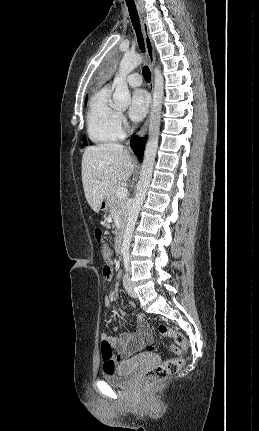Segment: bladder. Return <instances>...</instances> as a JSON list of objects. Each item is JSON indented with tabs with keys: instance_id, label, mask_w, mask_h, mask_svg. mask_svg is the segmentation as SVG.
Returning a JSON list of instances; mask_svg holds the SVG:
<instances>
[{
	"instance_id": "31cf9c89",
	"label": "bladder",
	"mask_w": 259,
	"mask_h": 431,
	"mask_svg": "<svg viewBox=\"0 0 259 431\" xmlns=\"http://www.w3.org/2000/svg\"><path fill=\"white\" fill-rule=\"evenodd\" d=\"M137 369L135 363H124L114 371H104L102 378L112 385H125L133 376Z\"/></svg>"
}]
</instances>
